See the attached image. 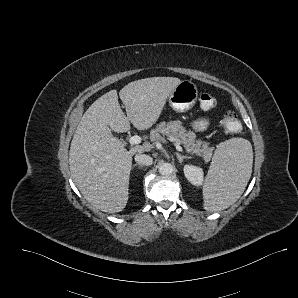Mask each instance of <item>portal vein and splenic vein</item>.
<instances>
[{
    "label": "portal vein and splenic vein",
    "mask_w": 298,
    "mask_h": 298,
    "mask_svg": "<svg viewBox=\"0 0 298 298\" xmlns=\"http://www.w3.org/2000/svg\"><path fill=\"white\" fill-rule=\"evenodd\" d=\"M130 142L133 145L141 144L143 142V137L139 135H134L130 138ZM174 147L177 151H181L182 147L179 143L175 142Z\"/></svg>",
    "instance_id": "portal-vein-and-splenic-vein-1"
}]
</instances>
